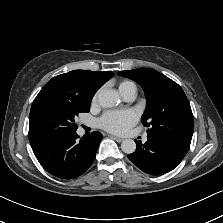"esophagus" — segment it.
<instances>
[{
  "label": "esophagus",
  "instance_id": "obj_1",
  "mask_svg": "<svg viewBox=\"0 0 223 223\" xmlns=\"http://www.w3.org/2000/svg\"><path fill=\"white\" fill-rule=\"evenodd\" d=\"M110 138H112L113 140L117 141V142H122L124 139L123 138H119L117 136L114 135H109Z\"/></svg>",
  "mask_w": 223,
  "mask_h": 223
}]
</instances>
